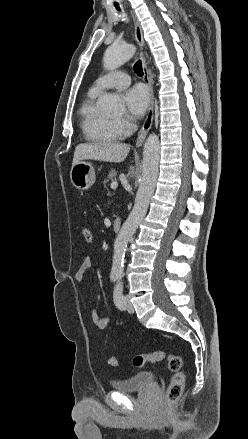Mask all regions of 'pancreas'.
<instances>
[{"label": "pancreas", "instance_id": "pancreas-1", "mask_svg": "<svg viewBox=\"0 0 248 439\" xmlns=\"http://www.w3.org/2000/svg\"><path fill=\"white\" fill-rule=\"evenodd\" d=\"M117 172L115 170H111L107 176V178L104 180V184H108L110 180L116 181Z\"/></svg>", "mask_w": 248, "mask_h": 439}]
</instances>
